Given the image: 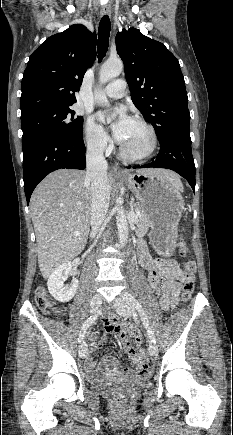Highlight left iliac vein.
Listing matches in <instances>:
<instances>
[{"label":"left iliac vein","mask_w":233,"mask_h":435,"mask_svg":"<svg viewBox=\"0 0 233 435\" xmlns=\"http://www.w3.org/2000/svg\"><path fill=\"white\" fill-rule=\"evenodd\" d=\"M114 306L116 308L117 313L124 318H129L132 315L131 308L129 304L124 301L121 297H117ZM149 353L151 356L155 357L158 355V347L156 343L150 342L148 347Z\"/></svg>","instance_id":"left-iliac-vein-1"}]
</instances>
